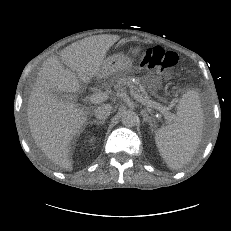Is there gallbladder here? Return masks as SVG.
I'll use <instances>...</instances> for the list:
<instances>
[{"label": "gallbladder", "mask_w": 231, "mask_h": 231, "mask_svg": "<svg viewBox=\"0 0 231 231\" xmlns=\"http://www.w3.org/2000/svg\"><path fill=\"white\" fill-rule=\"evenodd\" d=\"M53 94L56 95L57 97H61V94L58 91H53Z\"/></svg>", "instance_id": "1"}]
</instances>
